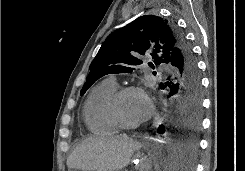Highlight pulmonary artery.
<instances>
[{"label": "pulmonary artery", "mask_w": 245, "mask_h": 171, "mask_svg": "<svg viewBox=\"0 0 245 171\" xmlns=\"http://www.w3.org/2000/svg\"><path fill=\"white\" fill-rule=\"evenodd\" d=\"M108 80H110V81H112V82L116 83V81H115V78H114V77H110Z\"/></svg>", "instance_id": "obj_1"}]
</instances>
